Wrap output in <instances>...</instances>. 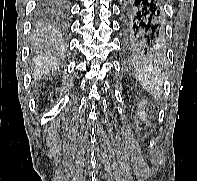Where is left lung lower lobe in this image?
Listing matches in <instances>:
<instances>
[{
    "label": "left lung lower lobe",
    "instance_id": "obj_1",
    "mask_svg": "<svg viewBox=\"0 0 197 181\" xmlns=\"http://www.w3.org/2000/svg\"><path fill=\"white\" fill-rule=\"evenodd\" d=\"M123 49L132 57L161 55L164 50L162 0H121Z\"/></svg>",
    "mask_w": 197,
    "mask_h": 181
}]
</instances>
